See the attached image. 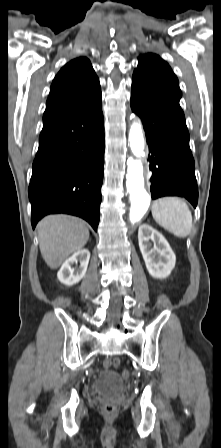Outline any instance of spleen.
I'll list each match as a JSON object with an SVG mask.
<instances>
[{
    "label": "spleen",
    "mask_w": 221,
    "mask_h": 448,
    "mask_svg": "<svg viewBox=\"0 0 221 448\" xmlns=\"http://www.w3.org/2000/svg\"><path fill=\"white\" fill-rule=\"evenodd\" d=\"M154 220L179 238L188 236L192 229V214L188 205L177 197H163L152 204Z\"/></svg>",
    "instance_id": "obj_1"
}]
</instances>
